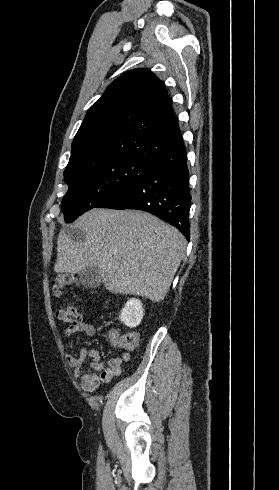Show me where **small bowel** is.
Returning a JSON list of instances; mask_svg holds the SVG:
<instances>
[{
    "mask_svg": "<svg viewBox=\"0 0 279 490\" xmlns=\"http://www.w3.org/2000/svg\"><path fill=\"white\" fill-rule=\"evenodd\" d=\"M82 333L86 337L95 335V327L92 324L81 322L70 326L63 331L66 339H71L76 334ZM92 360L91 369L84 370L86 359ZM68 365L73 368L74 377L80 381L83 390L87 392L96 391L102 382H109L113 377L122 372L125 363L131 360L129 352H121L104 362L97 350L81 347L77 355L66 356Z\"/></svg>",
    "mask_w": 279,
    "mask_h": 490,
    "instance_id": "1",
    "label": "small bowel"
}]
</instances>
